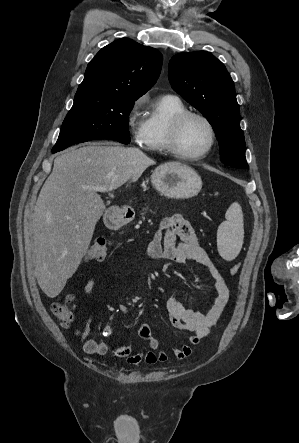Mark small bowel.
Instances as JSON below:
<instances>
[{
  "instance_id": "obj_1",
  "label": "small bowel",
  "mask_w": 299,
  "mask_h": 443,
  "mask_svg": "<svg viewBox=\"0 0 299 443\" xmlns=\"http://www.w3.org/2000/svg\"><path fill=\"white\" fill-rule=\"evenodd\" d=\"M179 239V241L177 240ZM145 255L149 259H166L175 263L195 262L205 267L213 280L216 296L212 305L206 312H198L186 308L179 298L171 297L167 301V309L172 327L177 331L189 334L188 343L175 349L173 354L177 359L191 355L193 346L207 336L211 329L220 320L229 301L228 286L216 268L207 252L202 247L199 238L188 221L182 215H173L164 218L152 240L145 247ZM95 284V276H91L84 287V293L89 295ZM118 311L126 315L129 311L126 305L120 304ZM115 331L114 326L107 324L102 329L104 337L111 336ZM82 350L87 354L106 355L124 358L129 364L145 362L154 364L164 362L168 355L159 351L160 342L151 332L146 323L139 328V336L144 339L150 350L144 353L136 352L129 346H117L113 342H98L87 338L88 327L76 330Z\"/></svg>"
}]
</instances>
